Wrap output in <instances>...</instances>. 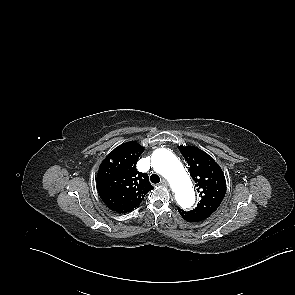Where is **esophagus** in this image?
I'll list each match as a JSON object with an SVG mask.
<instances>
[{
    "instance_id": "esophagus-1",
    "label": "esophagus",
    "mask_w": 295,
    "mask_h": 295,
    "mask_svg": "<svg viewBox=\"0 0 295 295\" xmlns=\"http://www.w3.org/2000/svg\"><path fill=\"white\" fill-rule=\"evenodd\" d=\"M161 184H162L163 186H168V181L165 180V179H163V180L161 181Z\"/></svg>"
}]
</instances>
